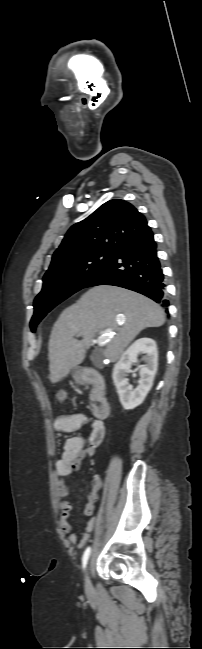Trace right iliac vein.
I'll list each match as a JSON object with an SVG mask.
<instances>
[{
    "instance_id": "right-iliac-vein-1",
    "label": "right iliac vein",
    "mask_w": 202,
    "mask_h": 649,
    "mask_svg": "<svg viewBox=\"0 0 202 649\" xmlns=\"http://www.w3.org/2000/svg\"><path fill=\"white\" fill-rule=\"evenodd\" d=\"M89 571H90V563L88 564V567H87V570H86V575H85V590H86L87 593H90L91 590H92Z\"/></svg>"
}]
</instances>
